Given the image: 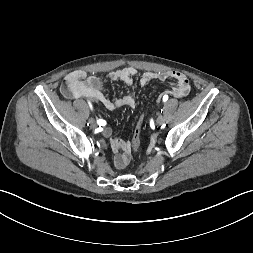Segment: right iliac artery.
I'll return each mask as SVG.
<instances>
[{
  "label": "right iliac artery",
  "mask_w": 253,
  "mask_h": 253,
  "mask_svg": "<svg viewBox=\"0 0 253 253\" xmlns=\"http://www.w3.org/2000/svg\"><path fill=\"white\" fill-rule=\"evenodd\" d=\"M89 105L92 108V105H91L90 102H89ZM97 122H98L99 125H105L106 124V122L104 120H102V119L97 120Z\"/></svg>",
  "instance_id": "obj_1"
}]
</instances>
